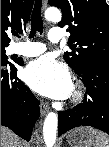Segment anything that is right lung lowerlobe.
<instances>
[{"label":"right lung lower lobe","instance_id":"1","mask_svg":"<svg viewBox=\"0 0 109 147\" xmlns=\"http://www.w3.org/2000/svg\"><path fill=\"white\" fill-rule=\"evenodd\" d=\"M16 73L13 64L1 62V125L29 141L40 113L39 101Z\"/></svg>","mask_w":109,"mask_h":147}]
</instances>
